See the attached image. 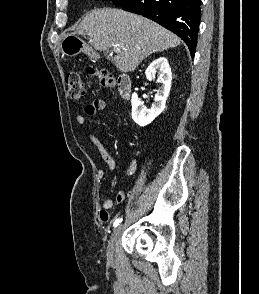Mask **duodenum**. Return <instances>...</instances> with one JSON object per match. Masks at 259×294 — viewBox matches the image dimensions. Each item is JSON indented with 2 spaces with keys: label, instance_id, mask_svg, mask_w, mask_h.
Returning a JSON list of instances; mask_svg holds the SVG:
<instances>
[{
  "label": "duodenum",
  "instance_id": "1",
  "mask_svg": "<svg viewBox=\"0 0 259 294\" xmlns=\"http://www.w3.org/2000/svg\"><path fill=\"white\" fill-rule=\"evenodd\" d=\"M131 79L127 75H121L118 78V93L123 99H127L131 95Z\"/></svg>",
  "mask_w": 259,
  "mask_h": 294
}]
</instances>
